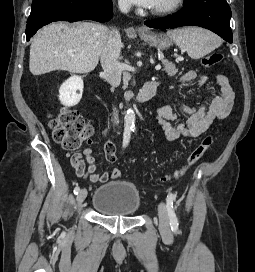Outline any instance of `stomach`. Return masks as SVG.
<instances>
[{
    "mask_svg": "<svg viewBox=\"0 0 255 272\" xmlns=\"http://www.w3.org/2000/svg\"><path fill=\"white\" fill-rule=\"evenodd\" d=\"M140 38L152 47L160 50L168 49L171 45V39L164 33H140Z\"/></svg>",
    "mask_w": 255,
    "mask_h": 272,
    "instance_id": "0dacf381",
    "label": "stomach"
}]
</instances>
